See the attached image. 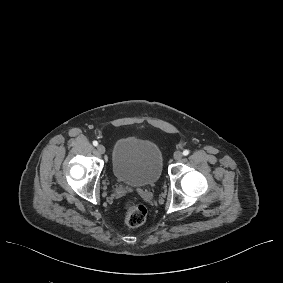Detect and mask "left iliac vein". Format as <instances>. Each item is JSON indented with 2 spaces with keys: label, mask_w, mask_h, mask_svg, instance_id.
<instances>
[{
  "label": "left iliac vein",
  "mask_w": 283,
  "mask_h": 283,
  "mask_svg": "<svg viewBox=\"0 0 283 283\" xmlns=\"http://www.w3.org/2000/svg\"><path fill=\"white\" fill-rule=\"evenodd\" d=\"M183 157V153L181 151H176L174 153V159L175 160H180Z\"/></svg>",
  "instance_id": "4c4485c4"
}]
</instances>
